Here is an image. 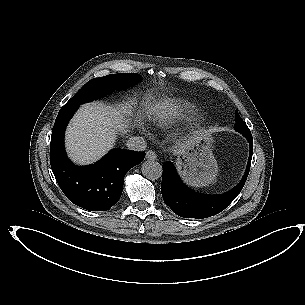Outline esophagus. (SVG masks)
<instances>
[{
  "instance_id": "34e87169",
  "label": "esophagus",
  "mask_w": 305,
  "mask_h": 305,
  "mask_svg": "<svg viewBox=\"0 0 305 305\" xmlns=\"http://www.w3.org/2000/svg\"><path fill=\"white\" fill-rule=\"evenodd\" d=\"M156 157H157V155H156V153H155L154 151L148 150V151L146 152V158H147L148 160L154 161V160L156 159Z\"/></svg>"
}]
</instances>
